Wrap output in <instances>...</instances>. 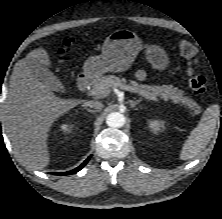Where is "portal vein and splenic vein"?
Here are the masks:
<instances>
[{
	"label": "portal vein and splenic vein",
	"instance_id": "18ae733b",
	"mask_svg": "<svg viewBox=\"0 0 222 219\" xmlns=\"http://www.w3.org/2000/svg\"><path fill=\"white\" fill-rule=\"evenodd\" d=\"M119 88L123 89V90L131 91V92H136L135 89L129 85H120ZM92 93L93 94L100 93V94H103L104 96H107L109 94V93H105L104 91H102V88L97 89L96 91H94Z\"/></svg>",
	"mask_w": 222,
	"mask_h": 219
}]
</instances>
